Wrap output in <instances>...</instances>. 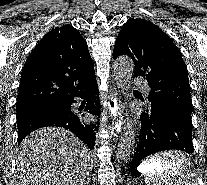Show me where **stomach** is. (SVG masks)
<instances>
[{"instance_id":"obj_1","label":"stomach","mask_w":207,"mask_h":185,"mask_svg":"<svg viewBox=\"0 0 207 185\" xmlns=\"http://www.w3.org/2000/svg\"><path fill=\"white\" fill-rule=\"evenodd\" d=\"M163 169V165L159 164L156 160L149 161L146 160L140 164L138 171L145 175L146 177L157 174L160 170Z\"/></svg>"}]
</instances>
